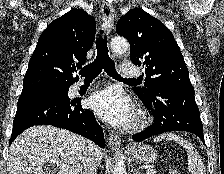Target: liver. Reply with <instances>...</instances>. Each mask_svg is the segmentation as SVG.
<instances>
[{
    "instance_id": "1",
    "label": "liver",
    "mask_w": 224,
    "mask_h": 174,
    "mask_svg": "<svg viewBox=\"0 0 224 174\" xmlns=\"http://www.w3.org/2000/svg\"><path fill=\"white\" fill-rule=\"evenodd\" d=\"M84 137L51 125L33 126L23 131L9 149L8 174H47L46 163L57 166L56 174H77ZM102 153L97 156L101 163Z\"/></svg>"
}]
</instances>
